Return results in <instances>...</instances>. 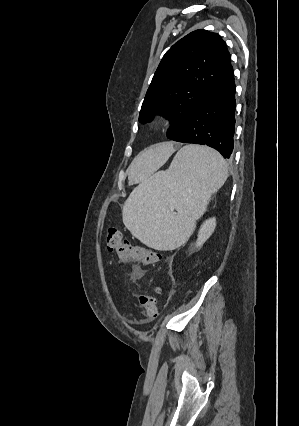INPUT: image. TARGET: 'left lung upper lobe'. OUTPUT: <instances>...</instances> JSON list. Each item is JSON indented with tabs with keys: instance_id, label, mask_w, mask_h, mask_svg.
<instances>
[{
	"instance_id": "left-lung-upper-lobe-1",
	"label": "left lung upper lobe",
	"mask_w": 299,
	"mask_h": 426,
	"mask_svg": "<svg viewBox=\"0 0 299 426\" xmlns=\"http://www.w3.org/2000/svg\"><path fill=\"white\" fill-rule=\"evenodd\" d=\"M230 67L226 43L217 33H189L163 56L147 90L139 121L149 122L155 114L165 116L171 121L167 137L172 139Z\"/></svg>"
}]
</instances>
